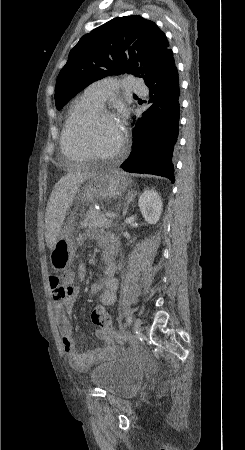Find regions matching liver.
<instances>
[{"label":"liver","instance_id":"1","mask_svg":"<svg viewBox=\"0 0 245 450\" xmlns=\"http://www.w3.org/2000/svg\"><path fill=\"white\" fill-rule=\"evenodd\" d=\"M97 173L96 169L85 168L69 172L54 186L45 213V239L50 250L53 249L68 209L73 203L81 185Z\"/></svg>","mask_w":245,"mask_h":450}]
</instances>
